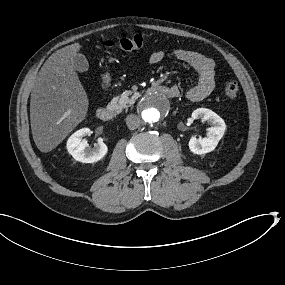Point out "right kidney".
<instances>
[{"label":"right kidney","instance_id":"right-kidney-1","mask_svg":"<svg viewBox=\"0 0 285 285\" xmlns=\"http://www.w3.org/2000/svg\"><path fill=\"white\" fill-rule=\"evenodd\" d=\"M86 135H91L89 128H82L73 133L67 141V150L79 162H97L106 155L108 148L102 141H98L93 148H90L86 141L82 139Z\"/></svg>","mask_w":285,"mask_h":285}]
</instances>
